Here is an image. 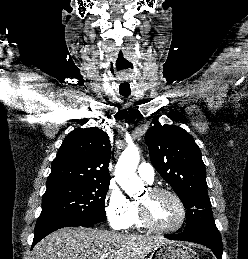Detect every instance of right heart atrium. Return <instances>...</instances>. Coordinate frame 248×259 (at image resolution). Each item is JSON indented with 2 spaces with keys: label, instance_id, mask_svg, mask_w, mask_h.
<instances>
[{
  "label": "right heart atrium",
  "instance_id": "right-heart-atrium-1",
  "mask_svg": "<svg viewBox=\"0 0 248 259\" xmlns=\"http://www.w3.org/2000/svg\"><path fill=\"white\" fill-rule=\"evenodd\" d=\"M104 205L110 226L116 230L126 229L132 213V201L123 191L117 186H110Z\"/></svg>",
  "mask_w": 248,
  "mask_h": 259
}]
</instances>
